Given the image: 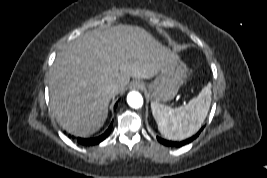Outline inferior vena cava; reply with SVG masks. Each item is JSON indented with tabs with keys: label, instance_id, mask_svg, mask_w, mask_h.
<instances>
[{
	"label": "inferior vena cava",
	"instance_id": "obj_1",
	"mask_svg": "<svg viewBox=\"0 0 267 178\" xmlns=\"http://www.w3.org/2000/svg\"><path fill=\"white\" fill-rule=\"evenodd\" d=\"M106 92L109 96L113 97L118 93V88L116 85L111 84L107 86Z\"/></svg>",
	"mask_w": 267,
	"mask_h": 178
}]
</instances>
